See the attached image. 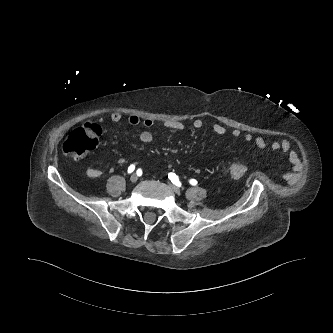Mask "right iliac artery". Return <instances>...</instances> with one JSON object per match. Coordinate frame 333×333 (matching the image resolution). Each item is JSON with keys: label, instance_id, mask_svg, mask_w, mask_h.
<instances>
[{"label": "right iliac artery", "instance_id": "obj_1", "mask_svg": "<svg viewBox=\"0 0 333 333\" xmlns=\"http://www.w3.org/2000/svg\"><path fill=\"white\" fill-rule=\"evenodd\" d=\"M135 169V165L134 164H131L129 167H128V173H132Z\"/></svg>", "mask_w": 333, "mask_h": 333}]
</instances>
